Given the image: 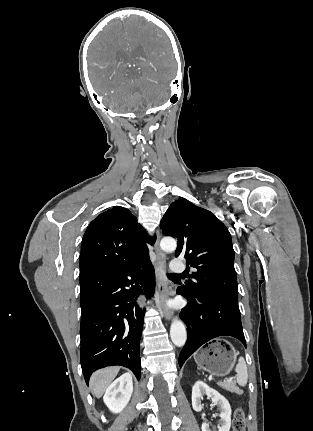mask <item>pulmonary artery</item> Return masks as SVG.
Instances as JSON below:
<instances>
[{
	"mask_svg": "<svg viewBox=\"0 0 313 431\" xmlns=\"http://www.w3.org/2000/svg\"><path fill=\"white\" fill-rule=\"evenodd\" d=\"M170 268L175 273H182L185 270V265L180 259H174Z\"/></svg>",
	"mask_w": 313,
	"mask_h": 431,
	"instance_id": "e3ab8cb5",
	"label": "pulmonary artery"
}]
</instances>
